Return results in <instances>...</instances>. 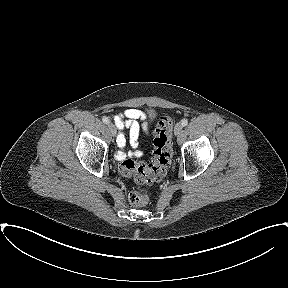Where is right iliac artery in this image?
<instances>
[{"label":"right iliac artery","mask_w":288,"mask_h":288,"mask_svg":"<svg viewBox=\"0 0 288 288\" xmlns=\"http://www.w3.org/2000/svg\"><path fill=\"white\" fill-rule=\"evenodd\" d=\"M102 121L105 123V124H108L109 123V119L107 117H103L102 118Z\"/></svg>","instance_id":"obj_1"}]
</instances>
